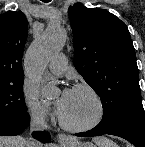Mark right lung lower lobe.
Returning a JSON list of instances; mask_svg holds the SVG:
<instances>
[{
  "instance_id": "98d812e1",
  "label": "right lung lower lobe",
  "mask_w": 145,
  "mask_h": 147,
  "mask_svg": "<svg viewBox=\"0 0 145 147\" xmlns=\"http://www.w3.org/2000/svg\"><path fill=\"white\" fill-rule=\"evenodd\" d=\"M28 123H29V114L18 122L1 124L0 136L19 135L27 127ZM33 136L34 138L40 140L43 143H47L51 141L50 135L45 132H38L36 134H33Z\"/></svg>"
}]
</instances>
